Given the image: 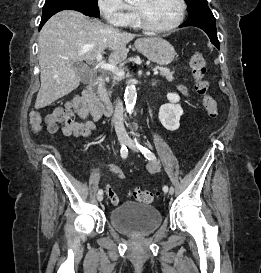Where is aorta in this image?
<instances>
[{
    "mask_svg": "<svg viewBox=\"0 0 261 273\" xmlns=\"http://www.w3.org/2000/svg\"><path fill=\"white\" fill-rule=\"evenodd\" d=\"M133 0H126V2H132ZM124 101H125V106L126 110L131 113L134 109L135 103H136V98H137V91L134 83L130 82L127 84L126 89H125V94H124Z\"/></svg>",
    "mask_w": 261,
    "mask_h": 273,
    "instance_id": "1",
    "label": "aorta"
}]
</instances>
